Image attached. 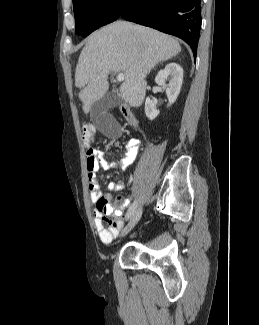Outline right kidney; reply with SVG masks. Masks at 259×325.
Listing matches in <instances>:
<instances>
[{
  "label": "right kidney",
  "mask_w": 259,
  "mask_h": 325,
  "mask_svg": "<svg viewBox=\"0 0 259 325\" xmlns=\"http://www.w3.org/2000/svg\"><path fill=\"white\" fill-rule=\"evenodd\" d=\"M169 77H171L170 82L166 85L165 82ZM155 82L159 86L166 87V95L169 101L168 106L172 105L176 101L182 86V67L174 62L167 64L164 69L158 72ZM145 114L150 120L155 119L159 114V110L156 109V101L149 97H147L145 101Z\"/></svg>",
  "instance_id": "right-kidney-1"
}]
</instances>
